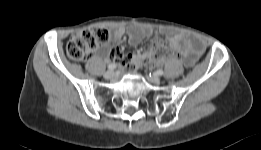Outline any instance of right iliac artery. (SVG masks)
<instances>
[{
  "mask_svg": "<svg viewBox=\"0 0 261 150\" xmlns=\"http://www.w3.org/2000/svg\"><path fill=\"white\" fill-rule=\"evenodd\" d=\"M115 68H116V64H114V63L108 65L109 70H114Z\"/></svg>",
  "mask_w": 261,
  "mask_h": 150,
  "instance_id": "right-iliac-artery-1",
  "label": "right iliac artery"
}]
</instances>
